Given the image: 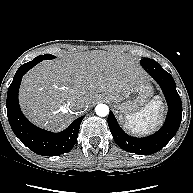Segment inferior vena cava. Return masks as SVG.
<instances>
[{
  "label": "inferior vena cava",
  "mask_w": 193,
  "mask_h": 193,
  "mask_svg": "<svg viewBox=\"0 0 193 193\" xmlns=\"http://www.w3.org/2000/svg\"><path fill=\"white\" fill-rule=\"evenodd\" d=\"M70 109H83L85 103L82 100H73L69 104Z\"/></svg>",
  "instance_id": "602c4592"
}]
</instances>
